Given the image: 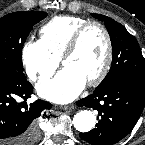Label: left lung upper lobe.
Listing matches in <instances>:
<instances>
[{"mask_svg": "<svg viewBox=\"0 0 145 145\" xmlns=\"http://www.w3.org/2000/svg\"><path fill=\"white\" fill-rule=\"evenodd\" d=\"M91 15L105 23L113 50L111 69L96 89L124 78L145 82V64L135 37L115 20L100 14Z\"/></svg>", "mask_w": 145, "mask_h": 145, "instance_id": "5c2ea615", "label": "left lung upper lobe"}]
</instances>
